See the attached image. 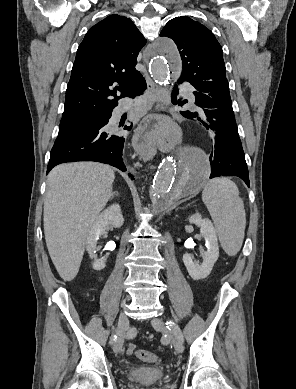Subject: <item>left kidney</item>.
Listing matches in <instances>:
<instances>
[{
	"mask_svg": "<svg viewBox=\"0 0 296 389\" xmlns=\"http://www.w3.org/2000/svg\"><path fill=\"white\" fill-rule=\"evenodd\" d=\"M189 223L200 226V234L205 239L207 251L203 254L201 264L194 263L188 253L183 255V262L191 278L201 280L210 274L219 257L218 240L212 222L209 219H203L199 213L190 216Z\"/></svg>",
	"mask_w": 296,
	"mask_h": 389,
	"instance_id": "1",
	"label": "left kidney"
}]
</instances>
